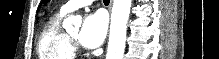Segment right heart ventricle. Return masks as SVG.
<instances>
[{
    "label": "right heart ventricle",
    "mask_w": 219,
    "mask_h": 59,
    "mask_svg": "<svg viewBox=\"0 0 219 59\" xmlns=\"http://www.w3.org/2000/svg\"><path fill=\"white\" fill-rule=\"evenodd\" d=\"M65 14H54L44 25L37 43L39 59H73L75 56L66 32L60 21Z\"/></svg>",
    "instance_id": "1"
}]
</instances>
